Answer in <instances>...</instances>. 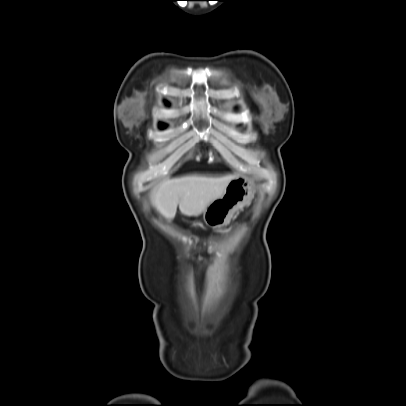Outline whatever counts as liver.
I'll return each mask as SVG.
<instances>
[{
	"instance_id": "obj_1",
	"label": "liver",
	"mask_w": 406,
	"mask_h": 406,
	"mask_svg": "<svg viewBox=\"0 0 406 406\" xmlns=\"http://www.w3.org/2000/svg\"><path fill=\"white\" fill-rule=\"evenodd\" d=\"M235 174L223 176L186 175L162 181L152 193V203L159 214L172 220L179 205L185 216H198L220 198Z\"/></svg>"
}]
</instances>
